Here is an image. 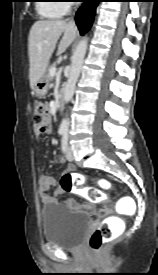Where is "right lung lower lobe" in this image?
<instances>
[{
	"mask_svg": "<svg viewBox=\"0 0 158 275\" xmlns=\"http://www.w3.org/2000/svg\"><path fill=\"white\" fill-rule=\"evenodd\" d=\"M99 1L83 0V5L77 11L75 20L81 35H84L90 29Z\"/></svg>",
	"mask_w": 158,
	"mask_h": 275,
	"instance_id": "obj_1",
	"label": "right lung lower lobe"
}]
</instances>
